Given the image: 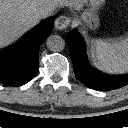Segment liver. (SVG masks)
<instances>
[{"mask_svg": "<svg viewBox=\"0 0 128 128\" xmlns=\"http://www.w3.org/2000/svg\"><path fill=\"white\" fill-rule=\"evenodd\" d=\"M85 0H0V48L15 42L34 27L39 18L36 10L43 5L52 8L67 6L81 10Z\"/></svg>", "mask_w": 128, "mask_h": 128, "instance_id": "1", "label": "liver"}]
</instances>
